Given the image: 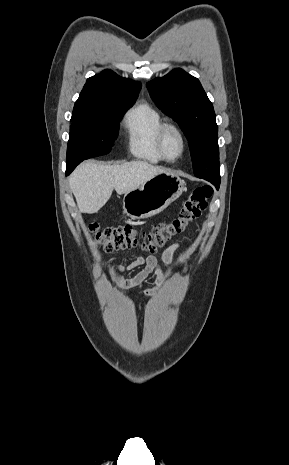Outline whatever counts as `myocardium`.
<instances>
[{
  "instance_id": "f54148a6",
  "label": "myocardium",
  "mask_w": 289,
  "mask_h": 465,
  "mask_svg": "<svg viewBox=\"0 0 289 465\" xmlns=\"http://www.w3.org/2000/svg\"><path fill=\"white\" fill-rule=\"evenodd\" d=\"M170 131L175 132L181 141V151L174 158L169 157L165 149L166 137ZM157 147L163 160L167 162H176L183 156L187 147V141L183 130L174 122H163L157 136Z\"/></svg>"
}]
</instances>
